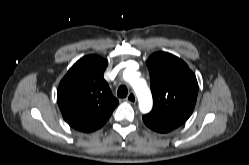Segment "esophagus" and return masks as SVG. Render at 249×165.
Returning <instances> with one entry per match:
<instances>
[{"instance_id":"obj_1","label":"esophagus","mask_w":249,"mask_h":165,"mask_svg":"<svg viewBox=\"0 0 249 165\" xmlns=\"http://www.w3.org/2000/svg\"><path fill=\"white\" fill-rule=\"evenodd\" d=\"M126 100L131 103V104H135L137 101L136 95L134 92H130L126 98Z\"/></svg>"}]
</instances>
